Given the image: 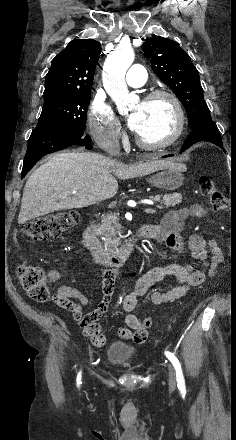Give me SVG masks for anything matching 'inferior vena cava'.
I'll list each match as a JSON object with an SVG mask.
<instances>
[{
	"label": "inferior vena cava",
	"mask_w": 236,
	"mask_h": 440,
	"mask_svg": "<svg viewBox=\"0 0 236 440\" xmlns=\"http://www.w3.org/2000/svg\"><path fill=\"white\" fill-rule=\"evenodd\" d=\"M119 151H120V146H119V143L116 141V142L113 144V146L111 147L109 153H110V155H112V156H116V155L119 154Z\"/></svg>",
	"instance_id": "1"
}]
</instances>
